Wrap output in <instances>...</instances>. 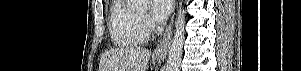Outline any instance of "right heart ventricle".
Returning a JSON list of instances; mask_svg holds the SVG:
<instances>
[{"instance_id": "e07e8e85", "label": "right heart ventricle", "mask_w": 301, "mask_h": 71, "mask_svg": "<svg viewBox=\"0 0 301 71\" xmlns=\"http://www.w3.org/2000/svg\"><path fill=\"white\" fill-rule=\"evenodd\" d=\"M109 31L113 43L118 46H137L148 39L141 15L129 0L114 3L109 18Z\"/></svg>"}]
</instances>
